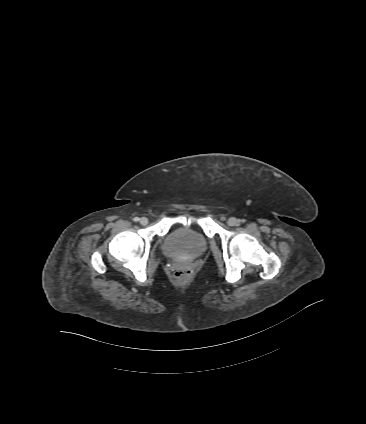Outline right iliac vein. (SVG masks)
Instances as JSON below:
<instances>
[{"mask_svg": "<svg viewBox=\"0 0 366 424\" xmlns=\"http://www.w3.org/2000/svg\"><path fill=\"white\" fill-rule=\"evenodd\" d=\"M148 218H146V217H142L141 219H140V223L142 224V225H147L148 224Z\"/></svg>", "mask_w": 366, "mask_h": 424, "instance_id": "right-iliac-vein-1", "label": "right iliac vein"}]
</instances>
